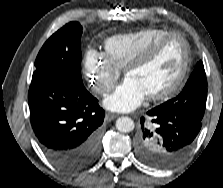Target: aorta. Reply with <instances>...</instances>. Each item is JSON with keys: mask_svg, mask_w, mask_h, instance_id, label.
<instances>
[{"mask_svg": "<svg viewBox=\"0 0 223 188\" xmlns=\"http://www.w3.org/2000/svg\"><path fill=\"white\" fill-rule=\"evenodd\" d=\"M134 126V121L129 117H120L116 120V128L120 132H131L134 129Z\"/></svg>", "mask_w": 223, "mask_h": 188, "instance_id": "1", "label": "aorta"}]
</instances>
